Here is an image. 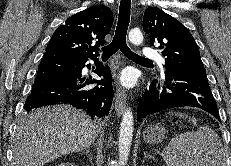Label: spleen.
Masks as SVG:
<instances>
[{"label":"spleen","mask_w":231,"mask_h":166,"mask_svg":"<svg viewBox=\"0 0 231 166\" xmlns=\"http://www.w3.org/2000/svg\"><path fill=\"white\" fill-rule=\"evenodd\" d=\"M173 115V112H169ZM175 116L187 118L193 125L197 119L184 113ZM167 166H226V154L217 132L208 125L197 131L184 132L174 137L163 150Z\"/></svg>","instance_id":"spleen-1"}]
</instances>
